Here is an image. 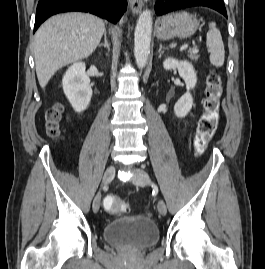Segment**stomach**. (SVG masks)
Instances as JSON below:
<instances>
[{
	"label": "stomach",
	"instance_id": "stomach-1",
	"mask_svg": "<svg viewBox=\"0 0 265 269\" xmlns=\"http://www.w3.org/2000/svg\"><path fill=\"white\" fill-rule=\"evenodd\" d=\"M199 25L197 17L186 11L168 14L157 21V37L160 40L188 38L196 32Z\"/></svg>",
	"mask_w": 265,
	"mask_h": 269
}]
</instances>
